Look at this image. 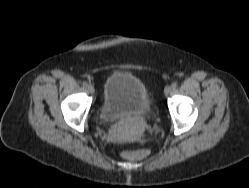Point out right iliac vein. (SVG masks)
<instances>
[{
	"instance_id": "right-iliac-vein-1",
	"label": "right iliac vein",
	"mask_w": 249,
	"mask_h": 188,
	"mask_svg": "<svg viewBox=\"0 0 249 188\" xmlns=\"http://www.w3.org/2000/svg\"><path fill=\"white\" fill-rule=\"evenodd\" d=\"M87 88H88V90H89V92H90L91 94H94V93H95V89H94V87H93L91 84H89V85L87 86Z\"/></svg>"
}]
</instances>
